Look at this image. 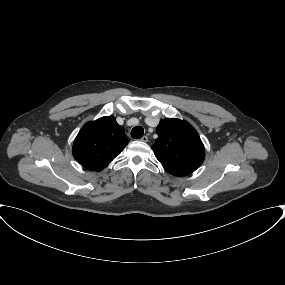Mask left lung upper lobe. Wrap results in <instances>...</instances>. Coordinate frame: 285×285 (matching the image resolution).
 Segmentation results:
<instances>
[{"instance_id": "left-lung-upper-lobe-1", "label": "left lung upper lobe", "mask_w": 285, "mask_h": 285, "mask_svg": "<svg viewBox=\"0 0 285 285\" xmlns=\"http://www.w3.org/2000/svg\"><path fill=\"white\" fill-rule=\"evenodd\" d=\"M156 133L158 138L152 150L170 174L185 176L203 163L204 145L197 131L186 121L163 119L157 126Z\"/></svg>"}]
</instances>
